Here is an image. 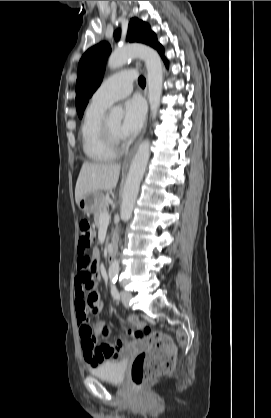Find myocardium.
<instances>
[{
    "mask_svg": "<svg viewBox=\"0 0 271 418\" xmlns=\"http://www.w3.org/2000/svg\"><path fill=\"white\" fill-rule=\"evenodd\" d=\"M102 136L105 143L115 152L121 149L122 139L120 135L115 134L106 121L102 125Z\"/></svg>",
    "mask_w": 271,
    "mask_h": 418,
    "instance_id": "1",
    "label": "myocardium"
}]
</instances>
